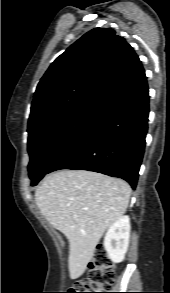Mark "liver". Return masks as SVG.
Returning <instances> with one entry per match:
<instances>
[{
	"label": "liver",
	"mask_w": 170,
	"mask_h": 293,
	"mask_svg": "<svg viewBox=\"0 0 170 293\" xmlns=\"http://www.w3.org/2000/svg\"><path fill=\"white\" fill-rule=\"evenodd\" d=\"M130 194L124 180L85 170L54 172L38 186L36 205L69 241L71 279L85 272L106 229L125 213Z\"/></svg>",
	"instance_id": "obj_1"
}]
</instances>
